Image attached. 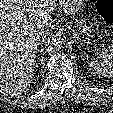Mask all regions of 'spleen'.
Returning <instances> with one entry per match:
<instances>
[{"instance_id":"3e777b00","label":"spleen","mask_w":113,"mask_h":113,"mask_svg":"<svg viewBox=\"0 0 113 113\" xmlns=\"http://www.w3.org/2000/svg\"><path fill=\"white\" fill-rule=\"evenodd\" d=\"M93 74L101 75L106 78L113 77V43L110 44L108 54L102 60H91L88 63Z\"/></svg>"}]
</instances>
